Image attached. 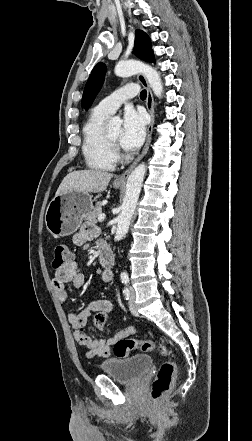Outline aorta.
Segmentation results:
<instances>
[{
  "instance_id": "1",
  "label": "aorta",
  "mask_w": 252,
  "mask_h": 441,
  "mask_svg": "<svg viewBox=\"0 0 252 441\" xmlns=\"http://www.w3.org/2000/svg\"><path fill=\"white\" fill-rule=\"evenodd\" d=\"M137 73L145 75L154 94L158 98H161L163 85L159 73L154 68L137 60L120 61L115 66V74L119 77H128ZM120 125L121 120L119 118H112L108 123L109 127H119ZM145 173L146 165L141 163L131 172L127 179L121 213L117 217V229L115 234L117 240H121L128 232Z\"/></svg>"
}]
</instances>
